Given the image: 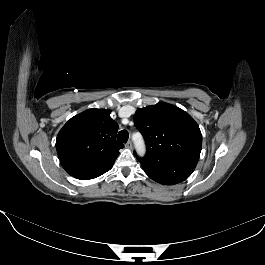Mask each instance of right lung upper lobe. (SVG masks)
I'll list each match as a JSON object with an SVG mask.
<instances>
[{"label": "right lung upper lobe", "mask_w": 265, "mask_h": 265, "mask_svg": "<svg viewBox=\"0 0 265 265\" xmlns=\"http://www.w3.org/2000/svg\"><path fill=\"white\" fill-rule=\"evenodd\" d=\"M110 110L88 109L60 130L56 149L60 163L75 178H95L113 166L123 144L116 141L118 124Z\"/></svg>", "instance_id": "right-lung-upper-lobe-1"}]
</instances>
